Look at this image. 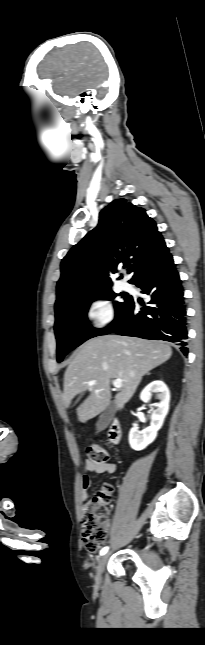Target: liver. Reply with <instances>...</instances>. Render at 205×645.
<instances>
[{
	"mask_svg": "<svg viewBox=\"0 0 205 645\" xmlns=\"http://www.w3.org/2000/svg\"><path fill=\"white\" fill-rule=\"evenodd\" d=\"M172 349L163 342L135 337L105 335L86 341L64 375L63 403L68 408L79 394L89 391L77 408L78 421L86 423L103 412L110 403V380L121 379L115 396L118 410L134 395L142 377L166 362ZM94 380L93 386L88 381Z\"/></svg>",
	"mask_w": 205,
	"mask_h": 645,
	"instance_id": "liver-1",
	"label": "liver"
}]
</instances>
